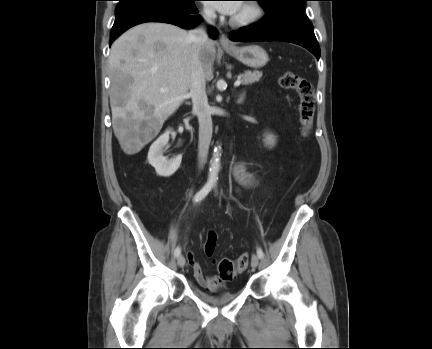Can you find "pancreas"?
<instances>
[{
  "instance_id": "cf45deb5",
  "label": "pancreas",
  "mask_w": 432,
  "mask_h": 349,
  "mask_svg": "<svg viewBox=\"0 0 432 349\" xmlns=\"http://www.w3.org/2000/svg\"><path fill=\"white\" fill-rule=\"evenodd\" d=\"M242 84L243 85H249L255 82H258L260 78L262 77V72L260 71H245L241 76Z\"/></svg>"
}]
</instances>
